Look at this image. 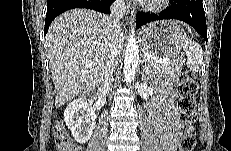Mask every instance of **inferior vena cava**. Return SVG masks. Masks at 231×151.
<instances>
[{"label": "inferior vena cava", "instance_id": "1", "mask_svg": "<svg viewBox=\"0 0 231 151\" xmlns=\"http://www.w3.org/2000/svg\"><path fill=\"white\" fill-rule=\"evenodd\" d=\"M111 14L107 16L108 24V41L106 45V64L104 73L103 87L106 90L110 89L109 79L114 72L118 56L121 52V47L118 45L116 38L122 30L120 20L126 12L124 0H116L110 7Z\"/></svg>", "mask_w": 231, "mask_h": 151}]
</instances>
